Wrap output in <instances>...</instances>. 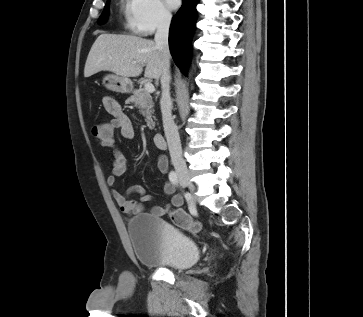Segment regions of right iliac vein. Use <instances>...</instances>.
Wrapping results in <instances>:
<instances>
[{"label": "right iliac vein", "instance_id": "obj_1", "mask_svg": "<svg viewBox=\"0 0 363 317\" xmlns=\"http://www.w3.org/2000/svg\"><path fill=\"white\" fill-rule=\"evenodd\" d=\"M179 179L183 184H185L189 188L191 193H194L195 187L188 174H180Z\"/></svg>", "mask_w": 363, "mask_h": 317}]
</instances>
